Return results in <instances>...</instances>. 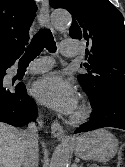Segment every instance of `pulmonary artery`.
Wrapping results in <instances>:
<instances>
[{
    "label": "pulmonary artery",
    "instance_id": "pulmonary-artery-1",
    "mask_svg": "<svg viewBox=\"0 0 125 167\" xmlns=\"http://www.w3.org/2000/svg\"><path fill=\"white\" fill-rule=\"evenodd\" d=\"M60 45H61V53L63 56L68 58L76 57L78 53V46L76 40L73 39L63 40ZM51 67L52 64L50 58L44 57L33 63L29 67V71L34 74H42L51 69Z\"/></svg>",
    "mask_w": 125,
    "mask_h": 167
}]
</instances>
